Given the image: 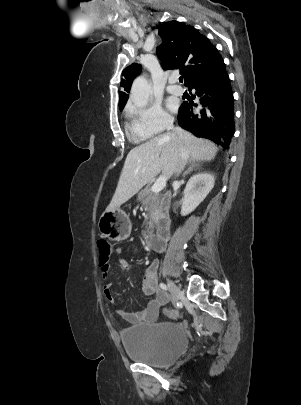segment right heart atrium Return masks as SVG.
Listing matches in <instances>:
<instances>
[{"instance_id":"obj_1","label":"right heart atrium","mask_w":301,"mask_h":405,"mask_svg":"<svg viewBox=\"0 0 301 405\" xmlns=\"http://www.w3.org/2000/svg\"><path fill=\"white\" fill-rule=\"evenodd\" d=\"M138 127L149 136L159 134L168 129L173 122L172 116L157 102L132 109Z\"/></svg>"}]
</instances>
